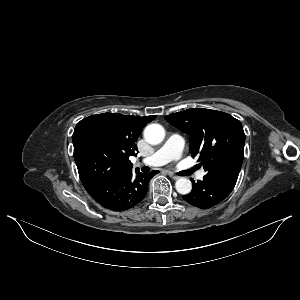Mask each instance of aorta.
I'll use <instances>...</instances> for the list:
<instances>
[{
    "label": "aorta",
    "instance_id": "1",
    "mask_svg": "<svg viewBox=\"0 0 300 300\" xmlns=\"http://www.w3.org/2000/svg\"><path fill=\"white\" fill-rule=\"evenodd\" d=\"M144 138L151 145L160 144L165 138V130L159 124H150L144 130ZM175 188L182 195L189 194L192 190V183L189 179L180 178L175 183Z\"/></svg>",
    "mask_w": 300,
    "mask_h": 300
}]
</instances>
